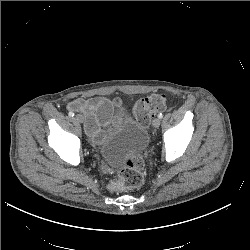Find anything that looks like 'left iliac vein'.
Segmentation results:
<instances>
[{
	"label": "left iliac vein",
	"instance_id": "1",
	"mask_svg": "<svg viewBox=\"0 0 250 250\" xmlns=\"http://www.w3.org/2000/svg\"><path fill=\"white\" fill-rule=\"evenodd\" d=\"M160 123H161L160 119L155 118L152 122V125H153V127L158 128L160 126Z\"/></svg>",
	"mask_w": 250,
	"mask_h": 250
}]
</instances>
